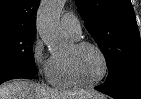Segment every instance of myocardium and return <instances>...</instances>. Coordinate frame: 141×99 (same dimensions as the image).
I'll return each mask as SVG.
<instances>
[{"label": "myocardium", "instance_id": "myocardium-1", "mask_svg": "<svg viewBox=\"0 0 141 99\" xmlns=\"http://www.w3.org/2000/svg\"><path fill=\"white\" fill-rule=\"evenodd\" d=\"M84 47H91V48L95 49L102 59L103 71H102L101 76L98 79L91 81V82L83 81L79 78V76L76 72L73 59L70 57H66V64H67L69 75L75 85L81 86V87H94V86H97L98 84H100L106 78V76L108 74V70H109L108 59H107V56H106L104 50L98 44H96L92 41L82 40V41H78L74 45V48L76 50L82 49Z\"/></svg>", "mask_w": 141, "mask_h": 99}]
</instances>
